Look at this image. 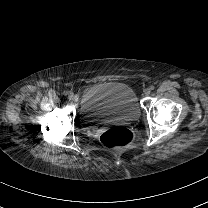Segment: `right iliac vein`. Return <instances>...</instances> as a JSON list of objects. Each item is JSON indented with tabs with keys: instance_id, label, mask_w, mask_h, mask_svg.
<instances>
[{
	"instance_id": "63e3f726",
	"label": "right iliac vein",
	"mask_w": 208,
	"mask_h": 208,
	"mask_svg": "<svg viewBox=\"0 0 208 208\" xmlns=\"http://www.w3.org/2000/svg\"><path fill=\"white\" fill-rule=\"evenodd\" d=\"M68 98H69L70 101H74L75 100V95L71 93Z\"/></svg>"
}]
</instances>
